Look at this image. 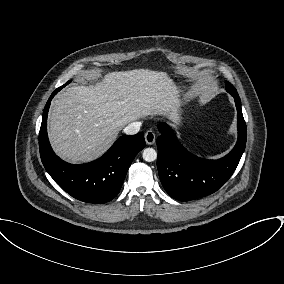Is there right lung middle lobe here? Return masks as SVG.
Instances as JSON below:
<instances>
[{"label": "right lung middle lobe", "mask_w": 284, "mask_h": 284, "mask_svg": "<svg viewBox=\"0 0 284 284\" xmlns=\"http://www.w3.org/2000/svg\"><path fill=\"white\" fill-rule=\"evenodd\" d=\"M71 81H68L66 84H64L63 86L57 88L55 91H60L63 87H65V85L69 84Z\"/></svg>", "instance_id": "obj_1"}]
</instances>
